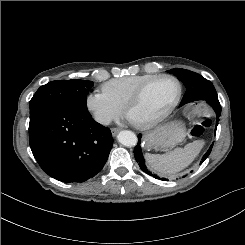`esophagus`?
Wrapping results in <instances>:
<instances>
[{
  "instance_id": "1",
  "label": "esophagus",
  "mask_w": 245,
  "mask_h": 245,
  "mask_svg": "<svg viewBox=\"0 0 245 245\" xmlns=\"http://www.w3.org/2000/svg\"><path fill=\"white\" fill-rule=\"evenodd\" d=\"M119 131H120L119 128H112V129H111V133H112L113 136H116V134H117Z\"/></svg>"
}]
</instances>
